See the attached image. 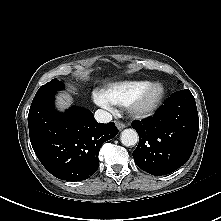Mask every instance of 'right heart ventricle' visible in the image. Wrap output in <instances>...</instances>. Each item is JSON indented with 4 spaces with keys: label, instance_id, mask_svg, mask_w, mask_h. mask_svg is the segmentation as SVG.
Returning a JSON list of instances; mask_svg holds the SVG:
<instances>
[{
    "label": "right heart ventricle",
    "instance_id": "1",
    "mask_svg": "<svg viewBox=\"0 0 221 221\" xmlns=\"http://www.w3.org/2000/svg\"><path fill=\"white\" fill-rule=\"evenodd\" d=\"M147 84L145 80L115 82L104 88L102 94L111 104L127 106Z\"/></svg>",
    "mask_w": 221,
    "mask_h": 221
}]
</instances>
